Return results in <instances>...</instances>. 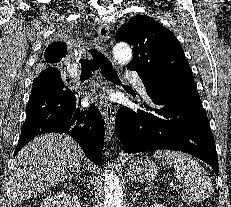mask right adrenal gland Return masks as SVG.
I'll return each instance as SVG.
<instances>
[{"label": "right adrenal gland", "mask_w": 231, "mask_h": 207, "mask_svg": "<svg viewBox=\"0 0 231 207\" xmlns=\"http://www.w3.org/2000/svg\"><path fill=\"white\" fill-rule=\"evenodd\" d=\"M75 176H76V179H77V178H80V168H78V169L76 170ZM81 180H82V178H81Z\"/></svg>", "instance_id": "right-adrenal-gland-1"}]
</instances>
